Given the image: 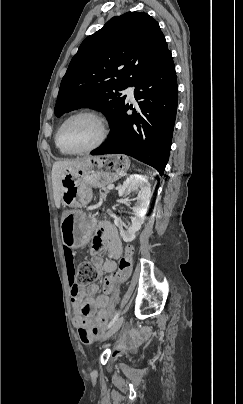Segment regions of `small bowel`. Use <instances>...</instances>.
<instances>
[{
	"mask_svg": "<svg viewBox=\"0 0 243 404\" xmlns=\"http://www.w3.org/2000/svg\"><path fill=\"white\" fill-rule=\"evenodd\" d=\"M102 250L108 252V257L105 260L98 255ZM122 252V242L116 227L108 221L102 222L92 240V264L101 272H113L116 269V260L122 256ZM64 254L70 280L73 323L78 328L81 342L88 344L98 338L104 330L110 316L108 310L110 297L106 294H98L96 285L86 289L77 283L73 252L70 248H65Z\"/></svg>",
	"mask_w": 243,
	"mask_h": 404,
	"instance_id": "small-bowel-1",
	"label": "small bowel"
}]
</instances>
